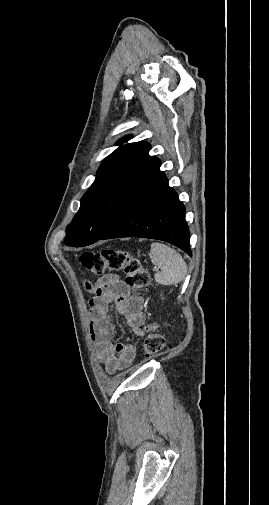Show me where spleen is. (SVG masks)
<instances>
[{"instance_id": "spleen-1", "label": "spleen", "mask_w": 269, "mask_h": 505, "mask_svg": "<svg viewBox=\"0 0 269 505\" xmlns=\"http://www.w3.org/2000/svg\"><path fill=\"white\" fill-rule=\"evenodd\" d=\"M151 262L161 270L154 275L161 285H176L184 280L187 274V264L182 256L173 248L159 242L151 243L149 252Z\"/></svg>"}]
</instances>
